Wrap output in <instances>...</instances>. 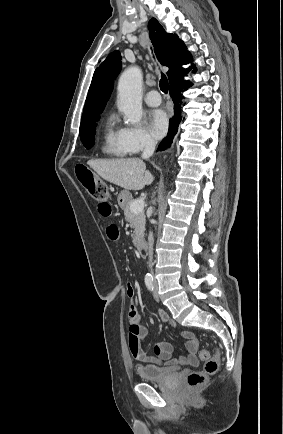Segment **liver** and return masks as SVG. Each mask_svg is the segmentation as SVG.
<instances>
[{
	"instance_id": "1",
	"label": "liver",
	"mask_w": 283,
	"mask_h": 434,
	"mask_svg": "<svg viewBox=\"0 0 283 434\" xmlns=\"http://www.w3.org/2000/svg\"><path fill=\"white\" fill-rule=\"evenodd\" d=\"M87 165L104 180L125 190H141L154 181V176L139 158L96 159L89 160Z\"/></svg>"
}]
</instances>
